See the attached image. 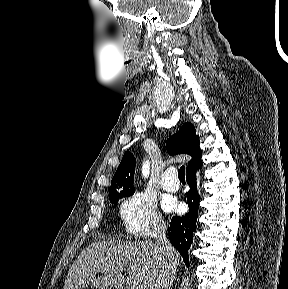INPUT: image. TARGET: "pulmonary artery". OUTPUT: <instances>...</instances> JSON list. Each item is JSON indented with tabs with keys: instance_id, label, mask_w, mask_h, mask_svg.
Segmentation results:
<instances>
[{
	"instance_id": "pulmonary-artery-1",
	"label": "pulmonary artery",
	"mask_w": 288,
	"mask_h": 289,
	"mask_svg": "<svg viewBox=\"0 0 288 289\" xmlns=\"http://www.w3.org/2000/svg\"><path fill=\"white\" fill-rule=\"evenodd\" d=\"M161 186L165 191L175 192L179 188V181L175 175V171L173 169H167L163 173V177L161 180Z\"/></svg>"
}]
</instances>
